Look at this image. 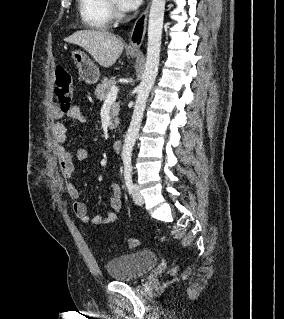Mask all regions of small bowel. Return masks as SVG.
I'll use <instances>...</instances> for the list:
<instances>
[{"mask_svg":"<svg viewBox=\"0 0 284 319\" xmlns=\"http://www.w3.org/2000/svg\"><path fill=\"white\" fill-rule=\"evenodd\" d=\"M64 113L57 108L53 109V137L56 147V155L61 172L66 178V189L71 198L74 199L72 209L76 217L84 224L106 225L116 221L117 214L122 207V191L116 184L111 186L110 208L104 215H90L86 204L79 199L80 192L73 180L74 163L73 155L66 145L67 128L61 121ZM66 116L78 122H85V116L79 106H72L66 113ZM76 158L79 161H85L88 158V151L85 148H79L76 152Z\"/></svg>","mask_w":284,"mask_h":319,"instance_id":"small-bowel-1","label":"small bowel"}]
</instances>
